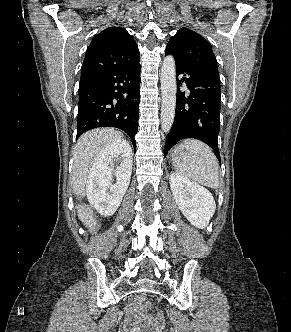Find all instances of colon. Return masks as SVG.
<instances>
[{"label": "colon", "instance_id": "1", "mask_svg": "<svg viewBox=\"0 0 291 332\" xmlns=\"http://www.w3.org/2000/svg\"><path fill=\"white\" fill-rule=\"evenodd\" d=\"M141 308L144 311H149L151 309V303L149 301H142Z\"/></svg>", "mask_w": 291, "mask_h": 332}]
</instances>
